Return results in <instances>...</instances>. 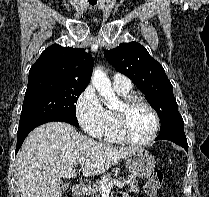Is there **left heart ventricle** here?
Instances as JSON below:
<instances>
[{
    "instance_id": "left-heart-ventricle-1",
    "label": "left heart ventricle",
    "mask_w": 209,
    "mask_h": 197,
    "mask_svg": "<svg viewBox=\"0 0 209 197\" xmlns=\"http://www.w3.org/2000/svg\"><path fill=\"white\" fill-rule=\"evenodd\" d=\"M122 109V105L117 110ZM127 129L136 140L148 138L154 127V118L150 110L143 104H136L126 111Z\"/></svg>"
}]
</instances>
